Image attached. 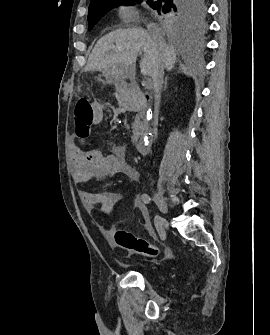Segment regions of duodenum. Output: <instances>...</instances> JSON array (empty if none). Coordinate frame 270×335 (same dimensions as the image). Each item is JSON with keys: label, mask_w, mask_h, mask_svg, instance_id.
I'll list each match as a JSON object with an SVG mask.
<instances>
[{"label": "duodenum", "mask_w": 270, "mask_h": 335, "mask_svg": "<svg viewBox=\"0 0 270 335\" xmlns=\"http://www.w3.org/2000/svg\"><path fill=\"white\" fill-rule=\"evenodd\" d=\"M120 102L121 107L125 111H141L146 107V97L143 91L136 85L131 83H121ZM151 139L147 135L141 136L136 147L139 153L147 154L150 150Z\"/></svg>", "instance_id": "410a0bca"}]
</instances>
